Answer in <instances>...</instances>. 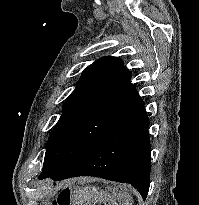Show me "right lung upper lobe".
<instances>
[{
  "instance_id": "cb5924a9",
  "label": "right lung upper lobe",
  "mask_w": 199,
  "mask_h": 205,
  "mask_svg": "<svg viewBox=\"0 0 199 205\" xmlns=\"http://www.w3.org/2000/svg\"><path fill=\"white\" fill-rule=\"evenodd\" d=\"M130 79L131 73L121 59L100 58L83 71L63 105V112L94 110L126 120L144 107L142 99L130 88Z\"/></svg>"
}]
</instances>
